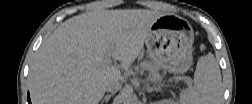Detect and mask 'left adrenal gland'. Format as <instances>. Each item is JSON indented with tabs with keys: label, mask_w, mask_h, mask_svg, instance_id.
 Wrapping results in <instances>:
<instances>
[{
	"label": "left adrenal gland",
	"mask_w": 252,
	"mask_h": 104,
	"mask_svg": "<svg viewBox=\"0 0 252 104\" xmlns=\"http://www.w3.org/2000/svg\"><path fill=\"white\" fill-rule=\"evenodd\" d=\"M146 91L148 93H151L152 91H161V86L158 87H150V85L147 83L146 85Z\"/></svg>",
	"instance_id": "a2214340"
}]
</instances>
